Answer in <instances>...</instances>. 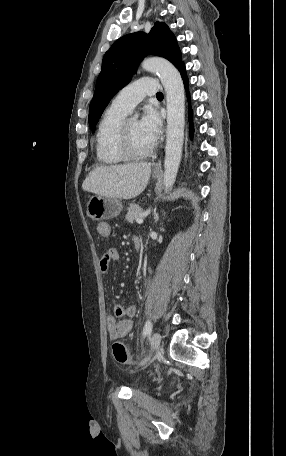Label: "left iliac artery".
Wrapping results in <instances>:
<instances>
[{"mask_svg": "<svg viewBox=\"0 0 286 456\" xmlns=\"http://www.w3.org/2000/svg\"><path fill=\"white\" fill-rule=\"evenodd\" d=\"M152 331V323L150 320H147L143 329V337L150 334Z\"/></svg>", "mask_w": 286, "mask_h": 456, "instance_id": "1", "label": "left iliac artery"}]
</instances>
